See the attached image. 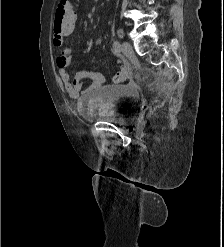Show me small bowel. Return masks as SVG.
Listing matches in <instances>:
<instances>
[{
	"label": "small bowel",
	"mask_w": 224,
	"mask_h": 247,
	"mask_svg": "<svg viewBox=\"0 0 224 247\" xmlns=\"http://www.w3.org/2000/svg\"><path fill=\"white\" fill-rule=\"evenodd\" d=\"M78 16L75 15V19ZM101 40H98L100 43ZM53 44L58 49L56 65L59 70L61 82L66 93L72 99L79 98L82 94L92 92L102 86L105 82V77L100 72L83 70L74 76L72 79L67 71L71 64L72 50L67 45V36L54 32ZM89 82L88 84H86Z\"/></svg>",
	"instance_id": "1"
}]
</instances>
